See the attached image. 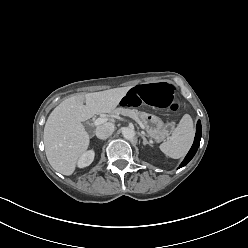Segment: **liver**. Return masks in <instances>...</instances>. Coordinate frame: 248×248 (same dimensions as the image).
Instances as JSON below:
<instances>
[{
  "instance_id": "obj_1",
  "label": "liver",
  "mask_w": 248,
  "mask_h": 248,
  "mask_svg": "<svg viewBox=\"0 0 248 248\" xmlns=\"http://www.w3.org/2000/svg\"><path fill=\"white\" fill-rule=\"evenodd\" d=\"M130 88L78 93L62 101L51 112L44 127L43 140L48 162L54 170L67 176L74 173L90 143L82 122L94 115L112 112Z\"/></svg>"
}]
</instances>
